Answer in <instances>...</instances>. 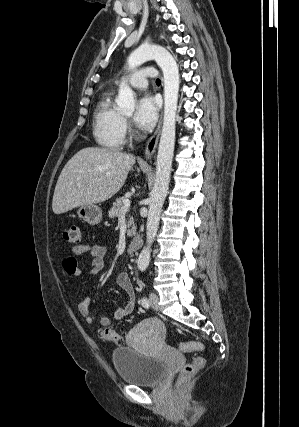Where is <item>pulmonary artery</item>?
Wrapping results in <instances>:
<instances>
[{
    "instance_id": "pulmonary-artery-1",
    "label": "pulmonary artery",
    "mask_w": 299,
    "mask_h": 427,
    "mask_svg": "<svg viewBox=\"0 0 299 427\" xmlns=\"http://www.w3.org/2000/svg\"><path fill=\"white\" fill-rule=\"evenodd\" d=\"M157 73L150 67H143L135 71L129 78V84L136 89H145L149 79H155Z\"/></svg>"
}]
</instances>
